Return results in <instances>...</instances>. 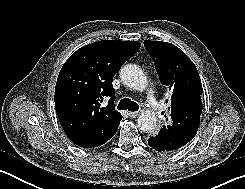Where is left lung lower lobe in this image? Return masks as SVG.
<instances>
[{
  "mask_svg": "<svg viewBox=\"0 0 245 189\" xmlns=\"http://www.w3.org/2000/svg\"><path fill=\"white\" fill-rule=\"evenodd\" d=\"M148 145L159 152H168L174 150V147L164 142V140L159 139L156 135L150 136V138L148 139Z\"/></svg>",
  "mask_w": 245,
  "mask_h": 189,
  "instance_id": "1",
  "label": "left lung lower lobe"
}]
</instances>
